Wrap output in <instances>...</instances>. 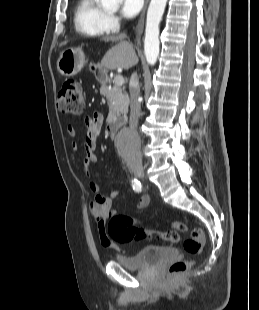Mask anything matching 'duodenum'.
Returning <instances> with one entry per match:
<instances>
[{"label": "duodenum", "instance_id": "1", "mask_svg": "<svg viewBox=\"0 0 259 310\" xmlns=\"http://www.w3.org/2000/svg\"><path fill=\"white\" fill-rule=\"evenodd\" d=\"M93 72L97 75H99L100 79L105 81L106 80V77L103 73L99 72L97 70L96 67H93ZM117 130H118V125L115 121H110L108 124H107V131L109 133V135L111 137H115L116 134H117Z\"/></svg>", "mask_w": 259, "mask_h": 310}]
</instances>
